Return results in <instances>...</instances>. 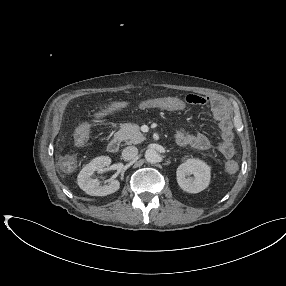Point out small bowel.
<instances>
[{"label": "small bowel", "instance_id": "small-bowel-1", "mask_svg": "<svg viewBox=\"0 0 286 286\" xmlns=\"http://www.w3.org/2000/svg\"><path fill=\"white\" fill-rule=\"evenodd\" d=\"M187 105L210 107L213 116L219 121L221 128L222 140L218 144L217 148L225 158H232L235 152L233 144V126L229 111L221 100H210L207 97L198 95H189L185 98V100L175 97H163L145 100L140 104V107L177 112L183 111ZM176 142L181 146L190 145L199 150H207L213 146L210 140L204 134H192L185 130L177 131Z\"/></svg>", "mask_w": 286, "mask_h": 286}]
</instances>
